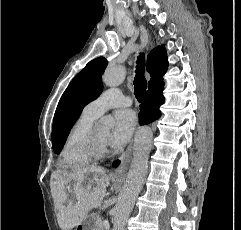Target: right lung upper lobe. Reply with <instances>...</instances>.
<instances>
[{
    "label": "right lung upper lobe",
    "instance_id": "right-lung-upper-lobe-1",
    "mask_svg": "<svg viewBox=\"0 0 241 230\" xmlns=\"http://www.w3.org/2000/svg\"><path fill=\"white\" fill-rule=\"evenodd\" d=\"M168 60L166 49L163 46L154 48L147 57V71L151 75L148 86L158 82L166 72Z\"/></svg>",
    "mask_w": 241,
    "mask_h": 230
}]
</instances>
